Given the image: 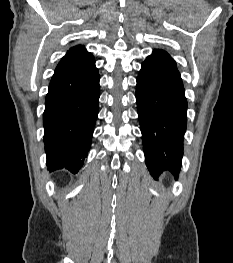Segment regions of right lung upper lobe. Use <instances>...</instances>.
<instances>
[{
    "mask_svg": "<svg viewBox=\"0 0 233 263\" xmlns=\"http://www.w3.org/2000/svg\"><path fill=\"white\" fill-rule=\"evenodd\" d=\"M95 60L91 53L87 52L84 46L72 47L57 65L56 73H74L88 69Z\"/></svg>",
    "mask_w": 233,
    "mask_h": 263,
    "instance_id": "1",
    "label": "right lung upper lobe"
}]
</instances>
